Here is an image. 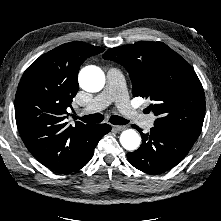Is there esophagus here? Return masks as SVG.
<instances>
[{"mask_svg":"<svg viewBox=\"0 0 221 221\" xmlns=\"http://www.w3.org/2000/svg\"><path fill=\"white\" fill-rule=\"evenodd\" d=\"M113 129L116 131H123L126 129V126L113 125Z\"/></svg>","mask_w":221,"mask_h":221,"instance_id":"obj_1","label":"esophagus"}]
</instances>
